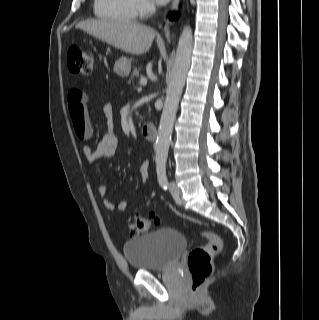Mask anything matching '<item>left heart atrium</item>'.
Instances as JSON below:
<instances>
[{
	"label": "left heart atrium",
	"mask_w": 319,
	"mask_h": 320,
	"mask_svg": "<svg viewBox=\"0 0 319 320\" xmlns=\"http://www.w3.org/2000/svg\"><path fill=\"white\" fill-rule=\"evenodd\" d=\"M159 4H165L167 3L169 0H156Z\"/></svg>",
	"instance_id": "39dd6f15"
}]
</instances>
